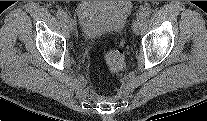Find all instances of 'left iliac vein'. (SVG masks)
Wrapping results in <instances>:
<instances>
[{"label": "left iliac vein", "mask_w": 207, "mask_h": 121, "mask_svg": "<svg viewBox=\"0 0 207 121\" xmlns=\"http://www.w3.org/2000/svg\"><path fill=\"white\" fill-rule=\"evenodd\" d=\"M142 17L138 16L136 18V20L134 21V24H133V31L134 33L137 35L139 34L140 30H141V25H142Z\"/></svg>", "instance_id": "4c4485c4"}]
</instances>
